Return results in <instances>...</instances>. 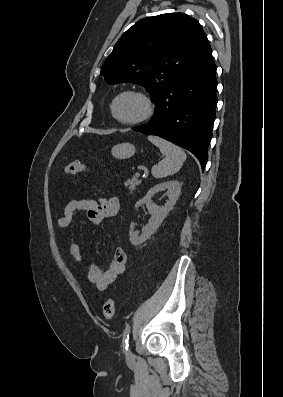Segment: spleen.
<instances>
[{
  "mask_svg": "<svg viewBox=\"0 0 283 397\" xmlns=\"http://www.w3.org/2000/svg\"><path fill=\"white\" fill-rule=\"evenodd\" d=\"M148 140L160 149L165 158L152 167L155 178H165L178 172L186 160L185 152L175 144L157 136H148Z\"/></svg>",
  "mask_w": 283,
  "mask_h": 397,
  "instance_id": "3e777b00",
  "label": "spleen"
}]
</instances>
